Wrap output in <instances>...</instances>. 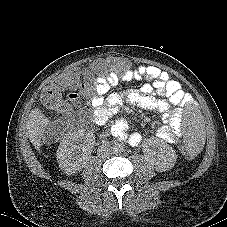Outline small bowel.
Here are the masks:
<instances>
[{
	"instance_id": "small-bowel-1",
	"label": "small bowel",
	"mask_w": 227,
	"mask_h": 227,
	"mask_svg": "<svg viewBox=\"0 0 227 227\" xmlns=\"http://www.w3.org/2000/svg\"><path fill=\"white\" fill-rule=\"evenodd\" d=\"M81 73L85 78H90L88 70L83 69ZM138 80H146L147 83L139 90L126 92V100L139 108L160 112L162 125L156 130V137L168 143H175L182 135L181 115L177 108L189 99L177 80L155 66L140 65L135 69L100 75L93 80L92 85L79 81L71 88L73 92L69 93L68 98L73 105L82 106V109H78L71 116L91 111L93 123L97 126L105 125L121 104L118 95L106 96L110 89L120 83ZM111 134L132 146L143 141V135L131 131L128 123L122 119L113 123Z\"/></svg>"
}]
</instances>
